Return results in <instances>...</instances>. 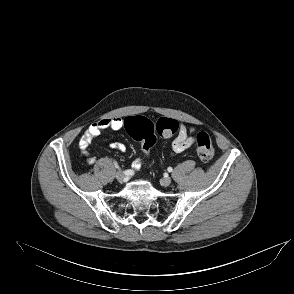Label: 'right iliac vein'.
<instances>
[{
  "mask_svg": "<svg viewBox=\"0 0 294 294\" xmlns=\"http://www.w3.org/2000/svg\"><path fill=\"white\" fill-rule=\"evenodd\" d=\"M115 177H116V180L118 182H120V183H122L124 181V178H125L124 174L121 173V172L116 173Z\"/></svg>",
  "mask_w": 294,
  "mask_h": 294,
  "instance_id": "right-iliac-vein-1",
  "label": "right iliac vein"
}]
</instances>
